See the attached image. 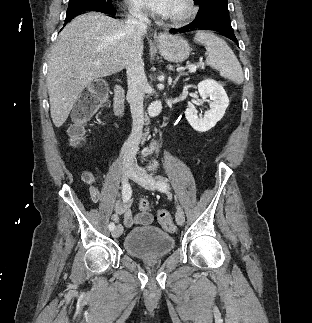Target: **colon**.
<instances>
[{
  "mask_svg": "<svg viewBox=\"0 0 312 323\" xmlns=\"http://www.w3.org/2000/svg\"><path fill=\"white\" fill-rule=\"evenodd\" d=\"M107 95V85L103 78L94 80L89 88L83 91L81 103L86 105V110L81 114L75 115V123L72 125L69 134L71 144H79L83 141L84 125L88 121L87 116L107 99ZM149 208L150 203L148 200L141 199L139 201L140 210L147 211ZM157 219L166 232L173 233L176 231V226L166 211H160L157 215Z\"/></svg>",
  "mask_w": 312,
  "mask_h": 323,
  "instance_id": "colon-1",
  "label": "colon"
}]
</instances>
